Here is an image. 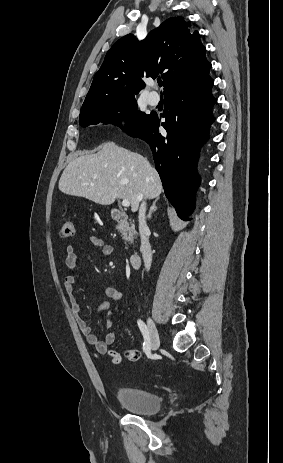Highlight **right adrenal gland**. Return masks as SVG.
<instances>
[{"label": "right adrenal gland", "instance_id": "right-adrenal-gland-1", "mask_svg": "<svg viewBox=\"0 0 283 463\" xmlns=\"http://www.w3.org/2000/svg\"><path fill=\"white\" fill-rule=\"evenodd\" d=\"M158 200H159V197H157V198L153 201V204H152V206H151V208H150V210H149V213H148V215H147V218H148V219H151L153 212L157 210L156 203H157Z\"/></svg>", "mask_w": 283, "mask_h": 463}]
</instances>
